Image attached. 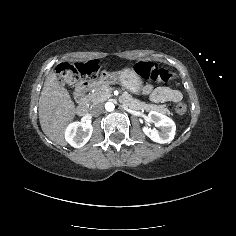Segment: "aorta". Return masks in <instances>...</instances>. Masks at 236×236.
I'll list each match as a JSON object with an SVG mask.
<instances>
[{
  "mask_svg": "<svg viewBox=\"0 0 236 236\" xmlns=\"http://www.w3.org/2000/svg\"><path fill=\"white\" fill-rule=\"evenodd\" d=\"M105 109H106V111H108V112L114 111V109H115L114 103H112V102H107V103L105 104Z\"/></svg>",
  "mask_w": 236,
  "mask_h": 236,
  "instance_id": "obj_1",
  "label": "aorta"
}]
</instances>
